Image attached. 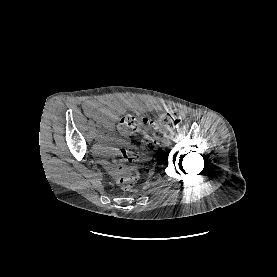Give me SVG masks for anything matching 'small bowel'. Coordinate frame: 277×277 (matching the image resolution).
<instances>
[{
    "label": "small bowel",
    "instance_id": "obj_1",
    "mask_svg": "<svg viewBox=\"0 0 277 277\" xmlns=\"http://www.w3.org/2000/svg\"><path fill=\"white\" fill-rule=\"evenodd\" d=\"M129 101L116 102L105 98H91L83 103V110L87 116L92 118L103 130L98 134L99 144L97 146L98 153L105 152L104 142L109 138V132L113 129L114 123L119 114L123 111L125 104ZM143 110H153L158 113L168 111L170 108L165 105H155L152 103L138 104ZM123 142L122 138L117 139Z\"/></svg>",
    "mask_w": 277,
    "mask_h": 277
}]
</instances>
